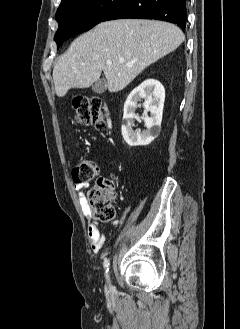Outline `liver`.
<instances>
[{"instance_id":"liver-1","label":"liver","mask_w":240,"mask_h":329,"mask_svg":"<svg viewBox=\"0 0 240 329\" xmlns=\"http://www.w3.org/2000/svg\"><path fill=\"white\" fill-rule=\"evenodd\" d=\"M184 39L177 26L163 21L122 19L100 23L76 38L56 63V94L64 97L72 88H88L102 71L108 90L121 91L145 68L176 50ZM107 60L112 64L107 65Z\"/></svg>"}]
</instances>
